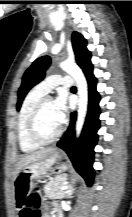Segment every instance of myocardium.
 Masks as SVG:
<instances>
[{
	"mask_svg": "<svg viewBox=\"0 0 132 217\" xmlns=\"http://www.w3.org/2000/svg\"><path fill=\"white\" fill-rule=\"evenodd\" d=\"M53 101L51 97H43L34 107L33 111L30 114L29 120H28V135L29 138L37 145L39 146H45L49 145L51 143H54L59 139L63 132V128L60 126L58 131L50 138H45L41 135L39 128H38V122L41 115V112L45 105L48 102Z\"/></svg>",
	"mask_w": 132,
	"mask_h": 217,
	"instance_id": "f54148a6",
	"label": "myocardium"
}]
</instances>
